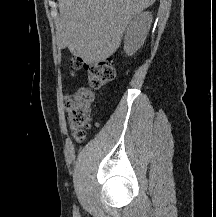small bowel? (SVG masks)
Masks as SVG:
<instances>
[{
	"label": "small bowel",
	"mask_w": 216,
	"mask_h": 217,
	"mask_svg": "<svg viewBox=\"0 0 216 217\" xmlns=\"http://www.w3.org/2000/svg\"><path fill=\"white\" fill-rule=\"evenodd\" d=\"M72 96L73 94L72 93H68L65 97H64V104L68 110V114H69V110H70V107H71V100H72Z\"/></svg>",
	"instance_id": "small-bowel-1"
}]
</instances>
